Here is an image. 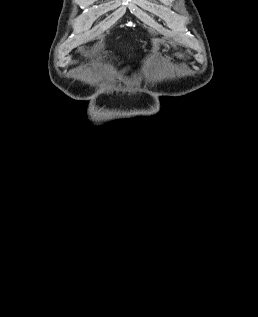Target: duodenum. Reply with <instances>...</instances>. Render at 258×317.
<instances>
[{
  "label": "duodenum",
  "instance_id": "410a0bca",
  "mask_svg": "<svg viewBox=\"0 0 258 317\" xmlns=\"http://www.w3.org/2000/svg\"><path fill=\"white\" fill-rule=\"evenodd\" d=\"M124 81H125V72L119 74V76H117V78H116V83H117V84H121V83H123Z\"/></svg>",
  "mask_w": 258,
  "mask_h": 317
}]
</instances>
